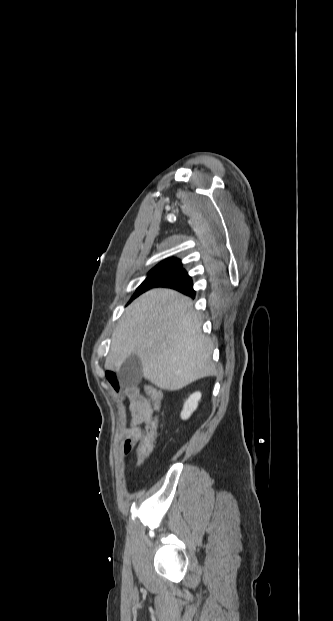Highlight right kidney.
Returning <instances> with one entry per match:
<instances>
[{
	"label": "right kidney",
	"mask_w": 333,
	"mask_h": 621,
	"mask_svg": "<svg viewBox=\"0 0 333 621\" xmlns=\"http://www.w3.org/2000/svg\"><path fill=\"white\" fill-rule=\"evenodd\" d=\"M201 399V392H194L189 396L183 405L181 412V419L187 420L191 414L196 410L198 402Z\"/></svg>",
	"instance_id": "1"
}]
</instances>
